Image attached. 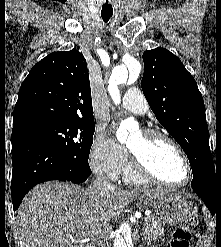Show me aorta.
<instances>
[{"label":"aorta","mask_w":221,"mask_h":247,"mask_svg":"<svg viewBox=\"0 0 221 247\" xmlns=\"http://www.w3.org/2000/svg\"><path fill=\"white\" fill-rule=\"evenodd\" d=\"M140 70L141 65L135 59L114 67L109 77L108 92L115 104H119L121 100L119 85L126 83L129 77L135 80L139 76ZM137 128L138 125L134 119L128 118L122 121L120 127L117 129L116 137L120 142H124L128 138L129 131ZM113 247H130V242L123 235L117 234L113 242Z\"/></svg>","instance_id":"1"}]
</instances>
